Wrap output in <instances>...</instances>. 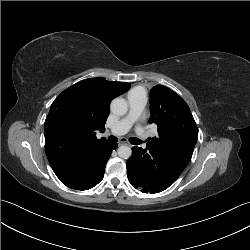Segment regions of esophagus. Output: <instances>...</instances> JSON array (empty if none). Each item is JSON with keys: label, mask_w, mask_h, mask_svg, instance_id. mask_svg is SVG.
I'll use <instances>...</instances> for the list:
<instances>
[{"label": "esophagus", "mask_w": 250, "mask_h": 250, "mask_svg": "<svg viewBox=\"0 0 250 250\" xmlns=\"http://www.w3.org/2000/svg\"><path fill=\"white\" fill-rule=\"evenodd\" d=\"M119 145H128V141L126 138H121L118 142Z\"/></svg>", "instance_id": "1"}]
</instances>
